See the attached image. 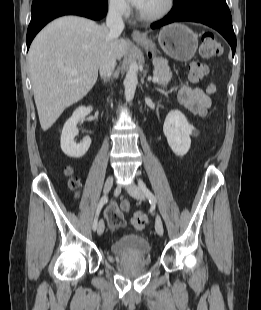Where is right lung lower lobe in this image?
Returning a JSON list of instances; mask_svg holds the SVG:
<instances>
[{
	"instance_id": "obj_1",
	"label": "right lung lower lobe",
	"mask_w": 261,
	"mask_h": 310,
	"mask_svg": "<svg viewBox=\"0 0 261 310\" xmlns=\"http://www.w3.org/2000/svg\"><path fill=\"white\" fill-rule=\"evenodd\" d=\"M107 0H33L27 30V48L35 35L51 20L63 15H79L93 20L107 13Z\"/></svg>"
}]
</instances>
